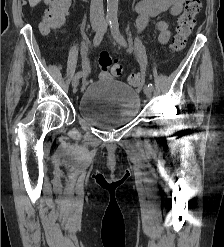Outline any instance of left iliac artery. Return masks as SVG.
Masks as SVG:
<instances>
[{"mask_svg": "<svg viewBox=\"0 0 224 247\" xmlns=\"http://www.w3.org/2000/svg\"><path fill=\"white\" fill-rule=\"evenodd\" d=\"M110 27H111V31H112V34L114 36V38L116 39V41L126 47L127 46V43L124 39V37L122 36V34L120 33V30H119V23H118V19L117 18H113L111 19V23H110ZM148 86L153 89L154 86L152 83H149Z\"/></svg>", "mask_w": 224, "mask_h": 247, "instance_id": "left-iliac-artery-1", "label": "left iliac artery"}]
</instances>
